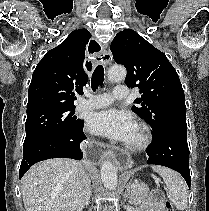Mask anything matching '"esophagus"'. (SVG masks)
I'll return each instance as SVG.
<instances>
[{"label":"esophagus","mask_w":209,"mask_h":211,"mask_svg":"<svg viewBox=\"0 0 209 211\" xmlns=\"http://www.w3.org/2000/svg\"><path fill=\"white\" fill-rule=\"evenodd\" d=\"M97 50V51H96ZM96 61L107 66L111 64L112 56L107 46L100 48L96 41L90 42V52H87L88 61ZM85 69H92V64H85ZM87 163H102L103 156H111L108 163H118L119 171H126L129 162L125 156H129V151H118V147H103V144H86Z\"/></svg>","instance_id":"1"}]
</instances>
